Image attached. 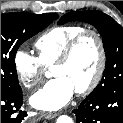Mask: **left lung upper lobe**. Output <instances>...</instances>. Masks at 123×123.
I'll list each match as a JSON object with an SVG mask.
<instances>
[{
    "mask_svg": "<svg viewBox=\"0 0 123 123\" xmlns=\"http://www.w3.org/2000/svg\"><path fill=\"white\" fill-rule=\"evenodd\" d=\"M69 21L87 22L100 33L106 54V68L100 84L92 93L123 88V28L109 15L100 11H73L62 16L58 24Z\"/></svg>",
    "mask_w": 123,
    "mask_h": 123,
    "instance_id": "left-lung-upper-lobe-1",
    "label": "left lung upper lobe"
}]
</instances>
